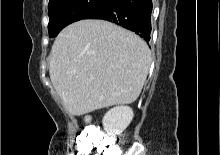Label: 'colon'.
Instances as JSON below:
<instances>
[{"mask_svg": "<svg viewBox=\"0 0 220 155\" xmlns=\"http://www.w3.org/2000/svg\"><path fill=\"white\" fill-rule=\"evenodd\" d=\"M76 148L80 155H113L114 145L98 132L90 130L78 139Z\"/></svg>", "mask_w": 220, "mask_h": 155, "instance_id": "5ec220e1", "label": "colon"}]
</instances>
